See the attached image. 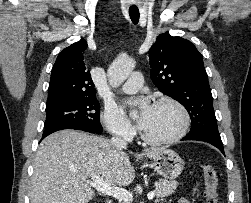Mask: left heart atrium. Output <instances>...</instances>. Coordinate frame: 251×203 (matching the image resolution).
<instances>
[{"instance_id": "39dd6f15", "label": "left heart atrium", "mask_w": 251, "mask_h": 203, "mask_svg": "<svg viewBox=\"0 0 251 203\" xmlns=\"http://www.w3.org/2000/svg\"><path fill=\"white\" fill-rule=\"evenodd\" d=\"M135 105L138 106L140 111L138 126L142 129L148 121L153 106L144 98L138 99Z\"/></svg>"}]
</instances>
